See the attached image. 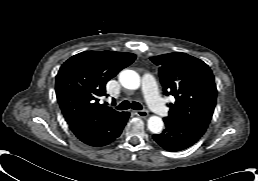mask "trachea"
<instances>
[{"mask_svg": "<svg viewBox=\"0 0 258 181\" xmlns=\"http://www.w3.org/2000/svg\"><path fill=\"white\" fill-rule=\"evenodd\" d=\"M118 110H127L129 108L135 109V110H142V106L138 102H132L130 103L129 101H123L120 103L117 107Z\"/></svg>", "mask_w": 258, "mask_h": 181, "instance_id": "trachea-1", "label": "trachea"}]
</instances>
